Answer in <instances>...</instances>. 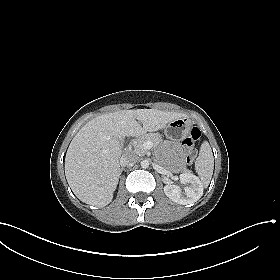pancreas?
Segmentation results:
<instances>
[{
  "label": "pancreas",
  "instance_id": "cf45deb5",
  "mask_svg": "<svg viewBox=\"0 0 280 280\" xmlns=\"http://www.w3.org/2000/svg\"><path fill=\"white\" fill-rule=\"evenodd\" d=\"M146 141H151L154 144H159L162 141L160 134L158 133H147L140 136L137 140L133 142L134 152L138 155H144L146 149H144L143 144Z\"/></svg>",
  "mask_w": 280,
  "mask_h": 280
}]
</instances>
